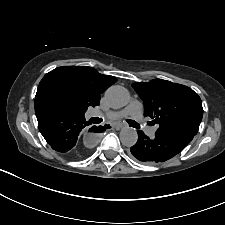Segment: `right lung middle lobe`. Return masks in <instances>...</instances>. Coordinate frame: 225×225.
Wrapping results in <instances>:
<instances>
[{
    "label": "right lung middle lobe",
    "mask_w": 225,
    "mask_h": 225,
    "mask_svg": "<svg viewBox=\"0 0 225 225\" xmlns=\"http://www.w3.org/2000/svg\"><path fill=\"white\" fill-rule=\"evenodd\" d=\"M48 102H50L60 108L66 109L68 111L78 113V114H84V112L81 109L77 108L74 104H72L70 101H68L66 98H64L59 93H52L48 97Z\"/></svg>",
    "instance_id": "obj_1"
}]
</instances>
